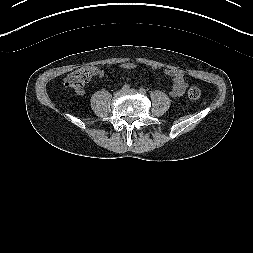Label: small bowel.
I'll use <instances>...</instances> for the list:
<instances>
[{"label":"small bowel","instance_id":"small-bowel-1","mask_svg":"<svg viewBox=\"0 0 253 253\" xmlns=\"http://www.w3.org/2000/svg\"><path fill=\"white\" fill-rule=\"evenodd\" d=\"M122 67L126 68V69H131V68L135 67V64L128 62V63H124L122 65ZM91 69H92V72L94 75H97L99 77L104 76L103 70H101L97 67H92ZM165 73L167 75L171 76V78H172V87H171L170 94L174 97L182 95L186 89V82L184 80V73L182 71L175 70V69H167V70H165ZM76 92L79 95L85 94L84 89L78 90Z\"/></svg>","mask_w":253,"mask_h":253}]
</instances>
